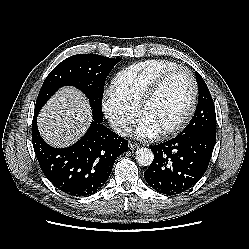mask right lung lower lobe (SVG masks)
<instances>
[{
	"mask_svg": "<svg viewBox=\"0 0 249 249\" xmlns=\"http://www.w3.org/2000/svg\"><path fill=\"white\" fill-rule=\"evenodd\" d=\"M32 143L46 178L62 192L76 197L92 195L105 184L113 164L128 149V141L93 118L86 134L68 148L49 146L32 121Z\"/></svg>",
	"mask_w": 249,
	"mask_h": 249,
	"instance_id": "obj_1",
	"label": "right lung lower lobe"
}]
</instances>
